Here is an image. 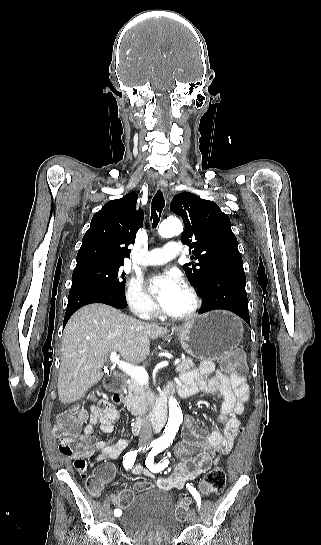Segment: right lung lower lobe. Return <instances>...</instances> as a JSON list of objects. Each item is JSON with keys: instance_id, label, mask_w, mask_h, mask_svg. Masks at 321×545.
<instances>
[{"instance_id": "1", "label": "right lung lower lobe", "mask_w": 321, "mask_h": 545, "mask_svg": "<svg viewBox=\"0 0 321 545\" xmlns=\"http://www.w3.org/2000/svg\"><path fill=\"white\" fill-rule=\"evenodd\" d=\"M91 303H104L115 308L127 307L125 294H119L112 290L92 285L72 286L69 292L64 325H66L76 310Z\"/></svg>"}]
</instances>
